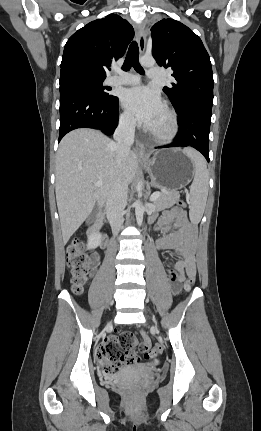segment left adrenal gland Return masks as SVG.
<instances>
[{"instance_id":"obj_1","label":"left adrenal gland","mask_w":261,"mask_h":431,"mask_svg":"<svg viewBox=\"0 0 261 431\" xmlns=\"http://www.w3.org/2000/svg\"><path fill=\"white\" fill-rule=\"evenodd\" d=\"M150 192H151V190H150V184L148 183V184H147V195H149V194H150Z\"/></svg>"}]
</instances>
